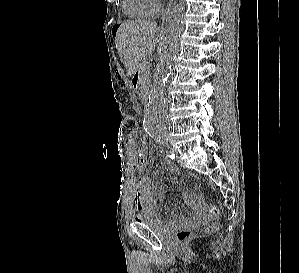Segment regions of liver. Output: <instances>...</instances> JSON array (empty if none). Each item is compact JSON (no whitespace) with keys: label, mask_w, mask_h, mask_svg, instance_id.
<instances>
[{"label":"liver","mask_w":299,"mask_h":273,"mask_svg":"<svg viewBox=\"0 0 299 273\" xmlns=\"http://www.w3.org/2000/svg\"><path fill=\"white\" fill-rule=\"evenodd\" d=\"M158 42V28L154 21H126L118 28L115 44L128 74L133 76L140 62L151 55Z\"/></svg>","instance_id":"obj_1"}]
</instances>
